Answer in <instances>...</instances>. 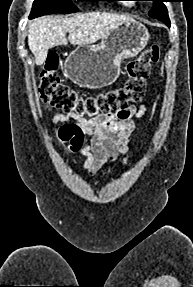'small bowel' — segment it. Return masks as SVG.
<instances>
[{"instance_id":"small-bowel-1","label":"small bowel","mask_w":193,"mask_h":287,"mask_svg":"<svg viewBox=\"0 0 193 287\" xmlns=\"http://www.w3.org/2000/svg\"><path fill=\"white\" fill-rule=\"evenodd\" d=\"M145 103L128 106L112 112L99 120H84L72 112L54 115L50 121L56 127L55 141L65 146L72 156L85 158L82 167L96 174L120 156L126 162L129 138L136 128V121L146 112Z\"/></svg>"}]
</instances>
